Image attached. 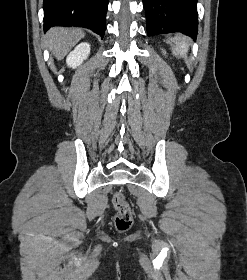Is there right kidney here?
Here are the masks:
<instances>
[{
    "mask_svg": "<svg viewBox=\"0 0 247 280\" xmlns=\"http://www.w3.org/2000/svg\"><path fill=\"white\" fill-rule=\"evenodd\" d=\"M89 54L90 45L86 42H83L76 46V48L67 56L66 63L69 67L75 69L88 58Z\"/></svg>",
    "mask_w": 247,
    "mask_h": 280,
    "instance_id": "obj_1",
    "label": "right kidney"
}]
</instances>
